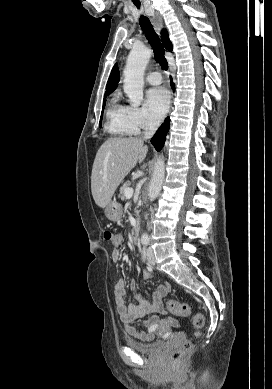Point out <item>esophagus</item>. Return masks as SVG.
Returning a JSON list of instances; mask_svg holds the SVG:
<instances>
[{"label": "esophagus", "instance_id": "obj_1", "mask_svg": "<svg viewBox=\"0 0 272 389\" xmlns=\"http://www.w3.org/2000/svg\"><path fill=\"white\" fill-rule=\"evenodd\" d=\"M151 20H152V24L154 26V29L156 30V32L158 34H160V31L163 27V19L161 17V15L157 12V11H152L151 12Z\"/></svg>", "mask_w": 272, "mask_h": 389}]
</instances>
